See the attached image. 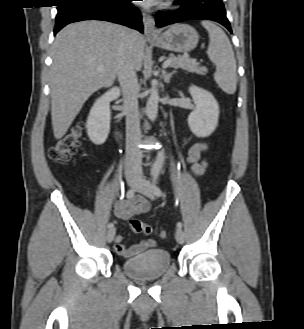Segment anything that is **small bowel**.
Returning a JSON list of instances; mask_svg holds the SVG:
<instances>
[{
    "mask_svg": "<svg viewBox=\"0 0 304 329\" xmlns=\"http://www.w3.org/2000/svg\"><path fill=\"white\" fill-rule=\"evenodd\" d=\"M189 149L187 161L191 165L194 174L200 175L205 171L206 159L204 157L207 151L206 144L202 142L188 141ZM151 209V203L148 199L142 196H133L126 200H119L115 204V214L117 217L128 220L136 215H141ZM122 235H117L115 238L114 248L116 252L123 257H131L144 250L155 247L156 243L153 239L143 240L132 246H125Z\"/></svg>",
    "mask_w": 304,
    "mask_h": 329,
    "instance_id": "small-bowel-1",
    "label": "small bowel"
}]
</instances>
